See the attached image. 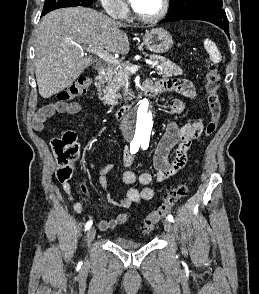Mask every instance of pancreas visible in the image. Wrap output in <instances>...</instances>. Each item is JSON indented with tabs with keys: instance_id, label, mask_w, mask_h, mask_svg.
<instances>
[{
	"instance_id": "obj_1",
	"label": "pancreas",
	"mask_w": 259,
	"mask_h": 294,
	"mask_svg": "<svg viewBox=\"0 0 259 294\" xmlns=\"http://www.w3.org/2000/svg\"><path fill=\"white\" fill-rule=\"evenodd\" d=\"M149 58L153 61L160 62L156 68L159 75L164 77H171L183 74L182 69L178 65L172 61L167 60L165 57L159 55H150ZM130 65V63H126L114 69L110 76L106 79V85H102V90L100 91L103 93L102 99L105 101V103L109 105H115L117 104L118 99H122V96L118 93V91L125 85L129 76L131 75V72L125 69V66Z\"/></svg>"
}]
</instances>
